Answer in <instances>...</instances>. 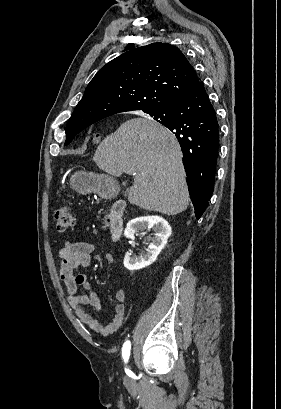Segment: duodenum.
<instances>
[{"instance_id":"obj_1","label":"duodenum","mask_w":281,"mask_h":409,"mask_svg":"<svg viewBox=\"0 0 281 409\" xmlns=\"http://www.w3.org/2000/svg\"><path fill=\"white\" fill-rule=\"evenodd\" d=\"M126 203L122 200L116 201L108 214L106 226L114 240H119L124 227L123 213Z\"/></svg>"}]
</instances>
